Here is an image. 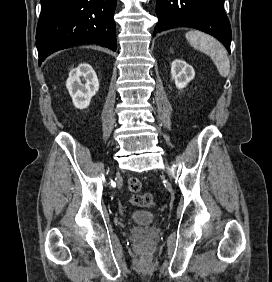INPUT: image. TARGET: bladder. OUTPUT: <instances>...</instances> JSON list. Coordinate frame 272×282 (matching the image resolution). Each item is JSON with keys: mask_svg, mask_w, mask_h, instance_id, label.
<instances>
[{"mask_svg": "<svg viewBox=\"0 0 272 282\" xmlns=\"http://www.w3.org/2000/svg\"><path fill=\"white\" fill-rule=\"evenodd\" d=\"M129 218L136 223L151 224L155 221V215L148 211L137 210L129 215Z\"/></svg>", "mask_w": 272, "mask_h": 282, "instance_id": "31cf9c89", "label": "bladder"}]
</instances>
